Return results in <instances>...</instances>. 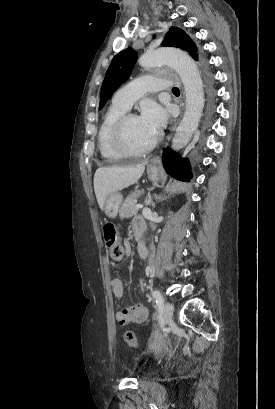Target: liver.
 <instances>
[{"mask_svg":"<svg viewBox=\"0 0 275 409\" xmlns=\"http://www.w3.org/2000/svg\"><path fill=\"white\" fill-rule=\"evenodd\" d=\"M144 170V164L99 166L94 174V190L101 211L104 209L105 198L108 194L134 184L142 176Z\"/></svg>","mask_w":275,"mask_h":409,"instance_id":"obj_1","label":"liver"}]
</instances>
